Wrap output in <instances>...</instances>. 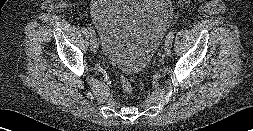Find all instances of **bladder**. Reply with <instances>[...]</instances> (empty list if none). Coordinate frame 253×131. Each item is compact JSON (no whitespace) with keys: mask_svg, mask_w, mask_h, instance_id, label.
Wrapping results in <instances>:
<instances>
[{"mask_svg":"<svg viewBox=\"0 0 253 131\" xmlns=\"http://www.w3.org/2000/svg\"><path fill=\"white\" fill-rule=\"evenodd\" d=\"M91 20L102 55L128 74L139 73L172 18L170 0H93Z\"/></svg>","mask_w":253,"mask_h":131,"instance_id":"1","label":"bladder"}]
</instances>
